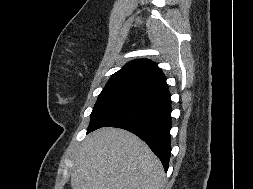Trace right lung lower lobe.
<instances>
[{
	"label": "right lung lower lobe",
	"instance_id": "1",
	"mask_svg": "<svg viewBox=\"0 0 253 189\" xmlns=\"http://www.w3.org/2000/svg\"><path fill=\"white\" fill-rule=\"evenodd\" d=\"M168 87L147 93L103 118L87 133L101 127L129 130L143 139L161 160L165 171L171 154V100Z\"/></svg>",
	"mask_w": 253,
	"mask_h": 189
}]
</instances>
